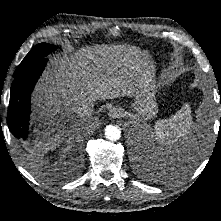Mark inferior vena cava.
Masks as SVG:
<instances>
[{
    "label": "inferior vena cava",
    "instance_id": "602c4592",
    "mask_svg": "<svg viewBox=\"0 0 221 221\" xmlns=\"http://www.w3.org/2000/svg\"><path fill=\"white\" fill-rule=\"evenodd\" d=\"M94 111V101L91 99L79 100L74 106V112L81 116H89Z\"/></svg>",
    "mask_w": 221,
    "mask_h": 221
}]
</instances>
